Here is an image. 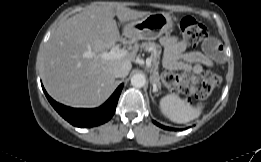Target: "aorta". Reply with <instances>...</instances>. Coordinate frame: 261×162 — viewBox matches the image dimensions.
I'll return each mask as SVG.
<instances>
[{
  "instance_id": "obj_1",
  "label": "aorta",
  "mask_w": 261,
  "mask_h": 162,
  "mask_svg": "<svg viewBox=\"0 0 261 162\" xmlns=\"http://www.w3.org/2000/svg\"><path fill=\"white\" fill-rule=\"evenodd\" d=\"M146 78L143 74H135L131 77V85L137 88H141L145 85Z\"/></svg>"
}]
</instances>
